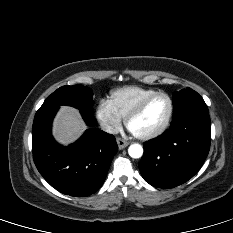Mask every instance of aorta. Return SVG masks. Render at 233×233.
<instances>
[{"label": "aorta", "mask_w": 233, "mask_h": 233, "mask_svg": "<svg viewBox=\"0 0 233 233\" xmlns=\"http://www.w3.org/2000/svg\"><path fill=\"white\" fill-rule=\"evenodd\" d=\"M128 154L132 158H140L143 155V148L140 144H132L128 148Z\"/></svg>", "instance_id": "aorta-1"}]
</instances>
